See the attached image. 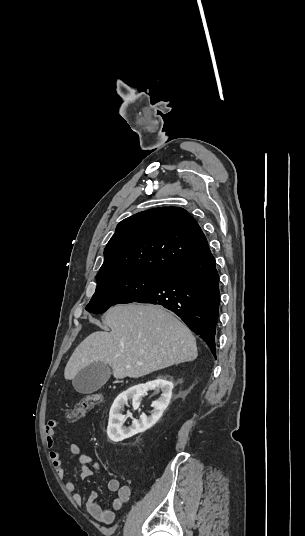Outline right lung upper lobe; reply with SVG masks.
I'll list each match as a JSON object with an SVG mask.
<instances>
[{
	"label": "right lung upper lobe",
	"mask_w": 305,
	"mask_h": 536,
	"mask_svg": "<svg viewBox=\"0 0 305 536\" xmlns=\"http://www.w3.org/2000/svg\"><path fill=\"white\" fill-rule=\"evenodd\" d=\"M211 252L196 220L178 207H160L121 221L104 250L97 280L132 272L170 273Z\"/></svg>",
	"instance_id": "1"
}]
</instances>
